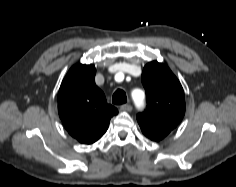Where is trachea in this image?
I'll return each instance as SVG.
<instances>
[{"instance_id":"trachea-1","label":"trachea","mask_w":236,"mask_h":187,"mask_svg":"<svg viewBox=\"0 0 236 187\" xmlns=\"http://www.w3.org/2000/svg\"><path fill=\"white\" fill-rule=\"evenodd\" d=\"M126 101H127V96L123 90L118 89L114 92V94L112 96V103L113 104L120 105V104L126 103Z\"/></svg>"}]
</instances>
